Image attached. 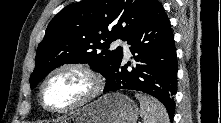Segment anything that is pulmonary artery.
<instances>
[{"instance_id":"e3ab8cb5","label":"pulmonary artery","mask_w":221,"mask_h":123,"mask_svg":"<svg viewBox=\"0 0 221 123\" xmlns=\"http://www.w3.org/2000/svg\"><path fill=\"white\" fill-rule=\"evenodd\" d=\"M115 46H121L125 55H130V50L126 42H123L122 40H117L115 42Z\"/></svg>"}]
</instances>
